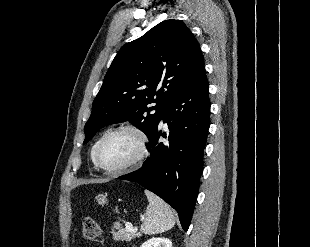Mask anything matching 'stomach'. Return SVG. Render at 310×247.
I'll list each match as a JSON object with an SVG mask.
<instances>
[{
  "instance_id": "0dacf381",
  "label": "stomach",
  "mask_w": 310,
  "mask_h": 247,
  "mask_svg": "<svg viewBox=\"0 0 310 247\" xmlns=\"http://www.w3.org/2000/svg\"><path fill=\"white\" fill-rule=\"evenodd\" d=\"M98 204L104 205L107 203L106 195L100 194L96 197Z\"/></svg>"
}]
</instances>
